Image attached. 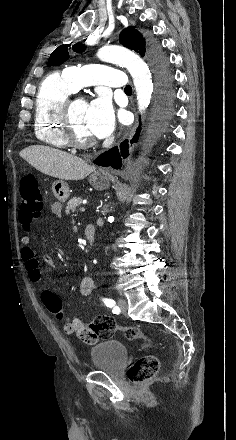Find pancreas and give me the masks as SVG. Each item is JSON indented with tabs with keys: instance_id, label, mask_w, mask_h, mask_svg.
<instances>
[{
	"instance_id": "pancreas-1",
	"label": "pancreas",
	"mask_w": 236,
	"mask_h": 440,
	"mask_svg": "<svg viewBox=\"0 0 236 440\" xmlns=\"http://www.w3.org/2000/svg\"><path fill=\"white\" fill-rule=\"evenodd\" d=\"M81 203H82V199L79 197L78 198L73 197L72 199H70L66 206V210H65L66 214H69L70 211H75L76 207L81 205Z\"/></svg>"
}]
</instances>
